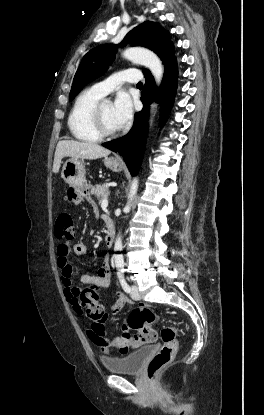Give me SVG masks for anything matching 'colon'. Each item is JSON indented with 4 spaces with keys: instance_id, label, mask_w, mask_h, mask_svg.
<instances>
[{
    "instance_id": "obj_1",
    "label": "colon",
    "mask_w": 264,
    "mask_h": 415,
    "mask_svg": "<svg viewBox=\"0 0 264 415\" xmlns=\"http://www.w3.org/2000/svg\"><path fill=\"white\" fill-rule=\"evenodd\" d=\"M54 234L60 244L68 245L73 241L74 227L72 216L69 212L59 214ZM97 299V292L93 288L88 287L81 293L80 304L84 309L83 315L89 320L96 338L103 339L101 333L104 331L107 314L98 304ZM156 318H158V315L149 306H141L128 317V325L135 329L137 333L133 335L125 330L120 336L112 340L124 345V347H127L130 343L132 345L152 343L157 340L158 335L150 326V323ZM160 336L163 341V347L150 360L147 367V374L151 380H154L161 370L172 361L178 349L177 328L174 325L164 327L161 330ZM103 340L106 341L105 339Z\"/></svg>"
}]
</instances>
